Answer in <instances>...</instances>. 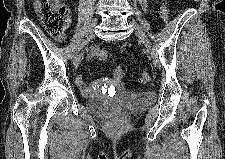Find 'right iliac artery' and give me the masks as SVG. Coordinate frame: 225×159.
Returning <instances> with one entry per match:
<instances>
[{
	"instance_id": "1",
	"label": "right iliac artery",
	"mask_w": 225,
	"mask_h": 159,
	"mask_svg": "<svg viewBox=\"0 0 225 159\" xmlns=\"http://www.w3.org/2000/svg\"><path fill=\"white\" fill-rule=\"evenodd\" d=\"M87 43L88 40H83L82 43L76 48L75 54L78 53V51H80V49H82V47L85 46Z\"/></svg>"
}]
</instances>
